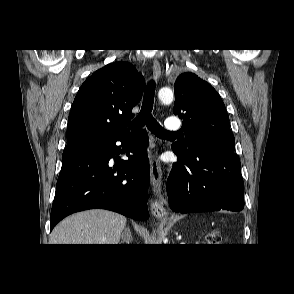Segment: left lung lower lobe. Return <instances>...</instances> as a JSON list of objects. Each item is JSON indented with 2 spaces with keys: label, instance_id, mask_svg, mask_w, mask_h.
Masks as SVG:
<instances>
[{
  "label": "left lung lower lobe",
  "instance_id": "0a47b994",
  "mask_svg": "<svg viewBox=\"0 0 294 294\" xmlns=\"http://www.w3.org/2000/svg\"><path fill=\"white\" fill-rule=\"evenodd\" d=\"M178 162L167 179V194L175 212H208L244 208L240 159L234 151L193 147L185 152L172 145Z\"/></svg>",
  "mask_w": 294,
  "mask_h": 294
}]
</instances>
